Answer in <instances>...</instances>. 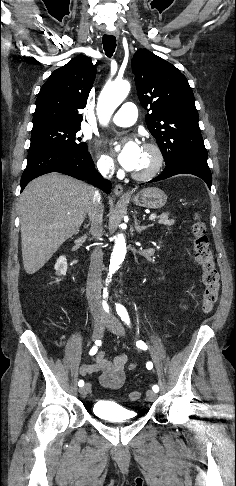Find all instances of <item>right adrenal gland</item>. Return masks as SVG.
<instances>
[{
  "mask_svg": "<svg viewBox=\"0 0 236 486\" xmlns=\"http://www.w3.org/2000/svg\"><path fill=\"white\" fill-rule=\"evenodd\" d=\"M89 225H84V228H88Z\"/></svg>",
  "mask_w": 236,
  "mask_h": 486,
  "instance_id": "right-adrenal-gland-1",
  "label": "right adrenal gland"
}]
</instances>
